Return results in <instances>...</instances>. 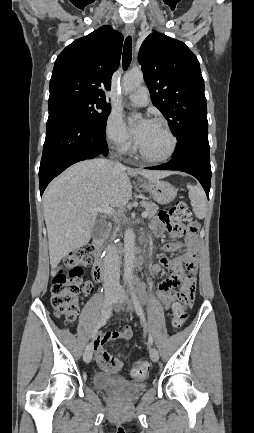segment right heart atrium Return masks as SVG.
Wrapping results in <instances>:
<instances>
[{"mask_svg":"<svg viewBox=\"0 0 254 433\" xmlns=\"http://www.w3.org/2000/svg\"><path fill=\"white\" fill-rule=\"evenodd\" d=\"M107 142L118 152L128 153L133 149V140L118 112H111L105 124Z\"/></svg>","mask_w":254,"mask_h":433,"instance_id":"obj_1","label":"right heart atrium"}]
</instances>
